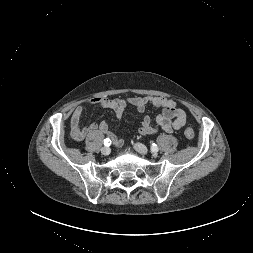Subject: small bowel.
Wrapping results in <instances>:
<instances>
[{
    "instance_id": "obj_1",
    "label": "small bowel",
    "mask_w": 253,
    "mask_h": 253,
    "mask_svg": "<svg viewBox=\"0 0 253 253\" xmlns=\"http://www.w3.org/2000/svg\"><path fill=\"white\" fill-rule=\"evenodd\" d=\"M90 105L99 106L102 108L112 109L117 118H121L127 106H132L140 113H143L148 105L161 109L160 114L156 117V126H152L151 117L145 116L140 124L138 132L140 135L153 136L160 131L172 133L174 130L181 129L186 123L185 112L177 108L173 100L146 96V97H129L126 99L95 97L89 100ZM84 112V106L79 105L72 113L70 120V136L75 141H82L85 137L96 130H100L105 135L109 136L117 146L123 144L122 139H118L109 129L106 122L97 124L92 122L89 125H81V117Z\"/></svg>"
}]
</instances>
